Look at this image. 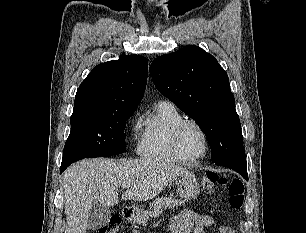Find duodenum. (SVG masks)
I'll return each mask as SVG.
<instances>
[{
  "instance_id": "1",
  "label": "duodenum",
  "mask_w": 306,
  "mask_h": 233,
  "mask_svg": "<svg viewBox=\"0 0 306 233\" xmlns=\"http://www.w3.org/2000/svg\"><path fill=\"white\" fill-rule=\"evenodd\" d=\"M123 215L126 218L127 221L132 222L134 220L135 217V210L133 208L130 207H126L123 210Z\"/></svg>"
}]
</instances>
